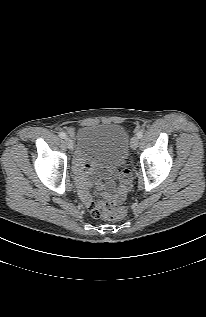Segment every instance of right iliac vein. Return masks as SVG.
<instances>
[{"label":"right iliac vein","mask_w":206,"mask_h":317,"mask_svg":"<svg viewBox=\"0 0 206 317\" xmlns=\"http://www.w3.org/2000/svg\"><path fill=\"white\" fill-rule=\"evenodd\" d=\"M65 144H66L67 148L70 150H72L74 147L72 140L70 138H67V137L65 138Z\"/></svg>","instance_id":"63e3f726"}]
</instances>
